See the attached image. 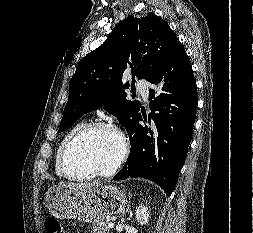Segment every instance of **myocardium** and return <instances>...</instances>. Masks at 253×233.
Wrapping results in <instances>:
<instances>
[{"label":"myocardium","mask_w":253,"mask_h":233,"mask_svg":"<svg viewBox=\"0 0 253 233\" xmlns=\"http://www.w3.org/2000/svg\"><path fill=\"white\" fill-rule=\"evenodd\" d=\"M109 130L113 133H115L118 138L120 139L121 143V151L119 154V157L117 158L116 162L107 170H93L91 172H88L83 175H74L70 172L68 168V155L70 153V150L74 146V144L84 135H86L89 132L95 131V130ZM129 154V141L125 135V133L116 125L104 122V121H95L85 124L83 127H81L67 142V144L64 147V150L62 152L61 156V169L64 174V176L70 180L73 181H81L90 179L97 176L102 177H109L113 175L126 161Z\"/></svg>","instance_id":"1"}]
</instances>
